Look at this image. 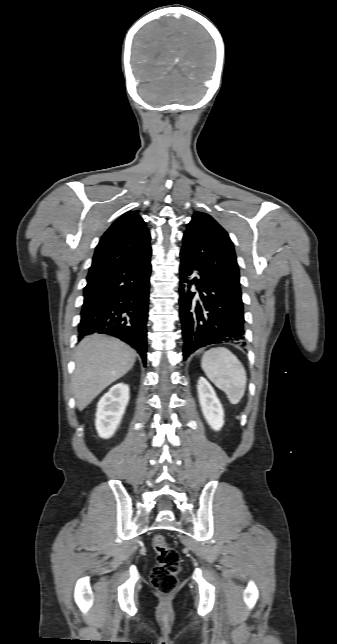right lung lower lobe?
I'll return each mask as SVG.
<instances>
[{
    "instance_id": "right-lung-lower-lobe-1",
    "label": "right lung lower lobe",
    "mask_w": 337,
    "mask_h": 644,
    "mask_svg": "<svg viewBox=\"0 0 337 644\" xmlns=\"http://www.w3.org/2000/svg\"><path fill=\"white\" fill-rule=\"evenodd\" d=\"M150 256L137 264L112 269L87 283L79 339L93 333L118 337L136 349L146 364Z\"/></svg>"
}]
</instances>
